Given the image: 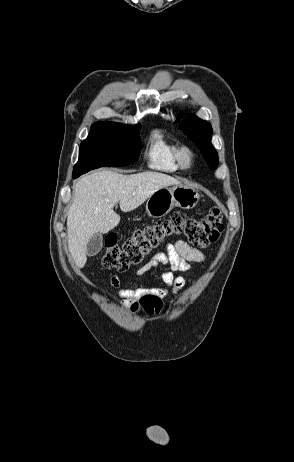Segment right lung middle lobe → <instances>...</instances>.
<instances>
[{"label": "right lung middle lobe", "instance_id": "dd1d6c3e", "mask_svg": "<svg viewBox=\"0 0 294 462\" xmlns=\"http://www.w3.org/2000/svg\"><path fill=\"white\" fill-rule=\"evenodd\" d=\"M140 126H124L112 122H96L86 140L80 145L79 161L74 166L73 175L90 171L97 156L109 154L115 166H126L138 159L141 150Z\"/></svg>", "mask_w": 294, "mask_h": 462}]
</instances>
